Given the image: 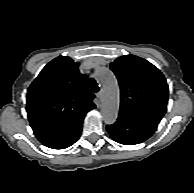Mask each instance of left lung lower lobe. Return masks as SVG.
I'll return each instance as SVG.
<instances>
[{
  "instance_id": "1",
  "label": "left lung lower lobe",
  "mask_w": 194,
  "mask_h": 193,
  "mask_svg": "<svg viewBox=\"0 0 194 193\" xmlns=\"http://www.w3.org/2000/svg\"><path fill=\"white\" fill-rule=\"evenodd\" d=\"M156 128L155 125L122 114H119L113 125L106 127L112 139L124 145H135L145 141Z\"/></svg>"
}]
</instances>
